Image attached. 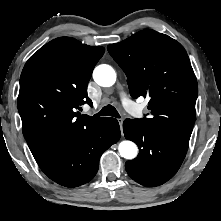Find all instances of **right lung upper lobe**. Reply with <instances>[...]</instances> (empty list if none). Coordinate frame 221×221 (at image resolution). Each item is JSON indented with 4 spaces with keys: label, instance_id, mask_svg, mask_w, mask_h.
Listing matches in <instances>:
<instances>
[{
    "label": "right lung upper lobe",
    "instance_id": "1",
    "mask_svg": "<svg viewBox=\"0 0 221 221\" xmlns=\"http://www.w3.org/2000/svg\"><path fill=\"white\" fill-rule=\"evenodd\" d=\"M101 46L70 37L45 44L26 62L17 100L27 144L39 166L87 134L102 118L76 113L92 101L87 86Z\"/></svg>",
    "mask_w": 221,
    "mask_h": 221
}]
</instances>
